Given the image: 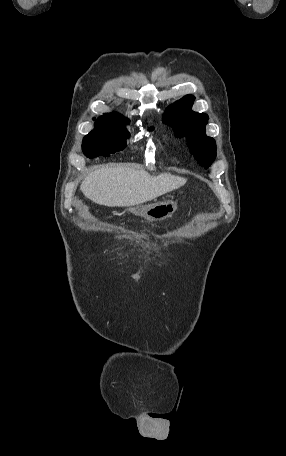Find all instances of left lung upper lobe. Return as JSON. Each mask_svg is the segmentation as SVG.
<instances>
[{"mask_svg":"<svg viewBox=\"0 0 286 456\" xmlns=\"http://www.w3.org/2000/svg\"><path fill=\"white\" fill-rule=\"evenodd\" d=\"M194 99L186 95L175 102L164 113L163 121L173 127L176 137H186L190 152L200 165L208 167L215 160L216 143L206 135L208 116L191 110Z\"/></svg>","mask_w":286,"mask_h":456,"instance_id":"left-lung-upper-lobe-1","label":"left lung upper lobe"}]
</instances>
